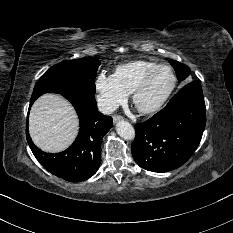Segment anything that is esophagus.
<instances>
[{
    "label": "esophagus",
    "mask_w": 233,
    "mask_h": 233,
    "mask_svg": "<svg viewBox=\"0 0 233 233\" xmlns=\"http://www.w3.org/2000/svg\"><path fill=\"white\" fill-rule=\"evenodd\" d=\"M123 119V117L121 115H114L113 116V122L117 123L119 121H121Z\"/></svg>",
    "instance_id": "34e87169"
}]
</instances>
